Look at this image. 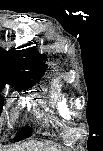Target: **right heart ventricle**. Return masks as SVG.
Instances as JSON below:
<instances>
[{
    "label": "right heart ventricle",
    "mask_w": 103,
    "mask_h": 151,
    "mask_svg": "<svg viewBox=\"0 0 103 151\" xmlns=\"http://www.w3.org/2000/svg\"><path fill=\"white\" fill-rule=\"evenodd\" d=\"M47 99L48 105L58 121L66 122L70 119L71 110L68 95L57 81L52 82Z\"/></svg>",
    "instance_id": "right-heart-ventricle-1"
}]
</instances>
